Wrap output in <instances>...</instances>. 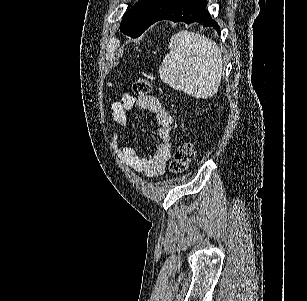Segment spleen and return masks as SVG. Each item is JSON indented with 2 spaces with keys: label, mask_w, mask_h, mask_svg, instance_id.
I'll use <instances>...</instances> for the list:
<instances>
[{
  "label": "spleen",
  "mask_w": 307,
  "mask_h": 301,
  "mask_svg": "<svg viewBox=\"0 0 307 301\" xmlns=\"http://www.w3.org/2000/svg\"><path fill=\"white\" fill-rule=\"evenodd\" d=\"M159 66L162 82L195 98L216 94L223 70V58L214 40L190 30L173 34Z\"/></svg>",
  "instance_id": "spleen-1"
}]
</instances>
